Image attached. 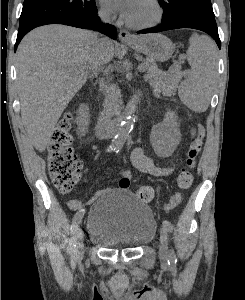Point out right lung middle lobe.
I'll return each mask as SVG.
<instances>
[{"label":"right lung middle lobe","mask_w":245,"mask_h":300,"mask_svg":"<svg viewBox=\"0 0 245 300\" xmlns=\"http://www.w3.org/2000/svg\"><path fill=\"white\" fill-rule=\"evenodd\" d=\"M96 9L95 0H25L19 31L59 18L87 16Z\"/></svg>","instance_id":"obj_1"}]
</instances>
